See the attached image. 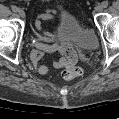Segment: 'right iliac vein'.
<instances>
[{
  "mask_svg": "<svg viewBox=\"0 0 119 119\" xmlns=\"http://www.w3.org/2000/svg\"><path fill=\"white\" fill-rule=\"evenodd\" d=\"M18 14L21 18H24L25 17V12L22 10V9H19L18 10Z\"/></svg>",
  "mask_w": 119,
  "mask_h": 119,
  "instance_id": "1",
  "label": "right iliac vein"
}]
</instances>
